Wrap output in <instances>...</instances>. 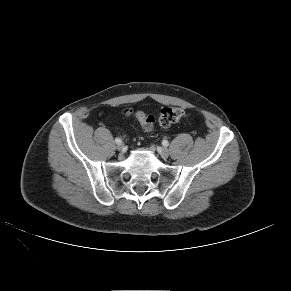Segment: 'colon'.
I'll return each mask as SVG.
<instances>
[{"instance_id": "colon-1", "label": "colon", "mask_w": 291, "mask_h": 291, "mask_svg": "<svg viewBox=\"0 0 291 291\" xmlns=\"http://www.w3.org/2000/svg\"><path fill=\"white\" fill-rule=\"evenodd\" d=\"M124 114L134 115L144 131L149 132L154 129L155 118L152 115H147L143 111L133 110L132 108L125 109ZM184 114L185 112L182 108L164 107L160 111L158 123L162 127H168L179 121L184 116Z\"/></svg>"}]
</instances>
